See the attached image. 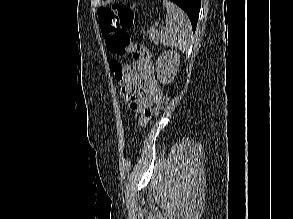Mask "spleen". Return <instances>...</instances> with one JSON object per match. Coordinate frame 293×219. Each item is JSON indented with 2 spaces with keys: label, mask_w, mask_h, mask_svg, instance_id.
<instances>
[{
  "label": "spleen",
  "mask_w": 293,
  "mask_h": 219,
  "mask_svg": "<svg viewBox=\"0 0 293 219\" xmlns=\"http://www.w3.org/2000/svg\"><path fill=\"white\" fill-rule=\"evenodd\" d=\"M167 9L166 27L160 33V42L164 46L178 48L186 52L191 44L192 27L188 16L169 0H163Z\"/></svg>",
  "instance_id": "obj_1"
}]
</instances>
